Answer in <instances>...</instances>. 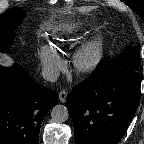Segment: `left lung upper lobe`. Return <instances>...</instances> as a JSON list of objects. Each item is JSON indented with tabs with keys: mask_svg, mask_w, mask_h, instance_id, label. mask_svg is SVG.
<instances>
[{
	"mask_svg": "<svg viewBox=\"0 0 144 144\" xmlns=\"http://www.w3.org/2000/svg\"><path fill=\"white\" fill-rule=\"evenodd\" d=\"M106 73L119 70L139 71V51L138 48L128 45L117 59L106 61L104 64Z\"/></svg>",
	"mask_w": 144,
	"mask_h": 144,
	"instance_id": "1",
	"label": "left lung upper lobe"
}]
</instances>
